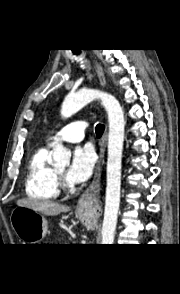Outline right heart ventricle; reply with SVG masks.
Returning a JSON list of instances; mask_svg holds the SVG:
<instances>
[{
    "mask_svg": "<svg viewBox=\"0 0 180 294\" xmlns=\"http://www.w3.org/2000/svg\"><path fill=\"white\" fill-rule=\"evenodd\" d=\"M50 146L38 148L30 157L25 181L26 194L37 200H54L59 195L55 170L48 163Z\"/></svg>",
    "mask_w": 180,
    "mask_h": 294,
    "instance_id": "obj_1",
    "label": "right heart ventricle"
}]
</instances>
